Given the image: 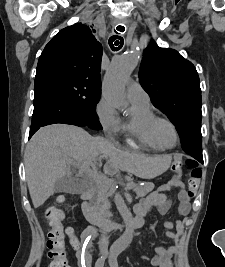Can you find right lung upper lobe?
<instances>
[{"label":"right lung upper lobe","mask_w":225,"mask_h":267,"mask_svg":"<svg viewBox=\"0 0 225 267\" xmlns=\"http://www.w3.org/2000/svg\"><path fill=\"white\" fill-rule=\"evenodd\" d=\"M88 26L76 23L59 31L38 60L35 80L62 75L101 87L102 46Z\"/></svg>","instance_id":"right-lung-upper-lobe-1"}]
</instances>
